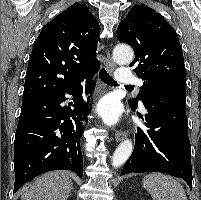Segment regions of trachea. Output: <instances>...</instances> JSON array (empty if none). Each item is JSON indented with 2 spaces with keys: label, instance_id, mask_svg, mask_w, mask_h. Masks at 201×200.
<instances>
[{
  "label": "trachea",
  "instance_id": "3493384b",
  "mask_svg": "<svg viewBox=\"0 0 201 200\" xmlns=\"http://www.w3.org/2000/svg\"><path fill=\"white\" fill-rule=\"evenodd\" d=\"M99 77L100 79L107 85L110 86H118L117 82L107 73V71L102 68L99 72ZM126 88H133L132 85L130 86H125Z\"/></svg>",
  "mask_w": 201,
  "mask_h": 200
}]
</instances>
